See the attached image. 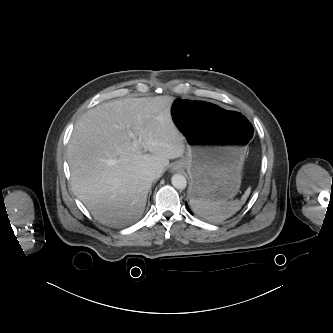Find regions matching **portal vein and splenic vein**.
Here are the masks:
<instances>
[{"instance_id":"portal-vein-and-splenic-vein-1","label":"portal vein and splenic vein","mask_w":333,"mask_h":333,"mask_svg":"<svg viewBox=\"0 0 333 333\" xmlns=\"http://www.w3.org/2000/svg\"><path fill=\"white\" fill-rule=\"evenodd\" d=\"M130 136L132 137V139H133V144H134V148H138V142H137V138L135 137V135L134 134H132V133H130Z\"/></svg>"}]
</instances>
